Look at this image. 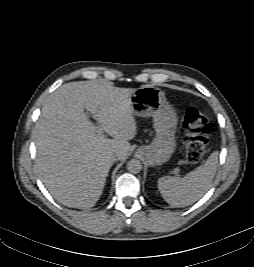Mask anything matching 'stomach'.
Returning <instances> with one entry per match:
<instances>
[{
	"mask_svg": "<svg viewBox=\"0 0 254 267\" xmlns=\"http://www.w3.org/2000/svg\"><path fill=\"white\" fill-rule=\"evenodd\" d=\"M129 101L135 115L153 118L155 129L151 144L139 147L137 152L144 156L150 165L168 162L176 149L178 118L175 109L161 89L150 85L135 89Z\"/></svg>",
	"mask_w": 254,
	"mask_h": 267,
	"instance_id": "stomach-1",
	"label": "stomach"
}]
</instances>
